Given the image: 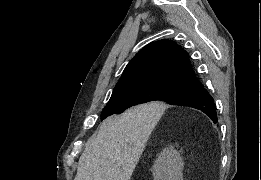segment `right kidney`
Returning <instances> with one entry per match:
<instances>
[{"label":"right kidney","mask_w":261,"mask_h":180,"mask_svg":"<svg viewBox=\"0 0 261 180\" xmlns=\"http://www.w3.org/2000/svg\"><path fill=\"white\" fill-rule=\"evenodd\" d=\"M155 180H183V160L172 146L159 154L153 168Z\"/></svg>","instance_id":"1"}]
</instances>
